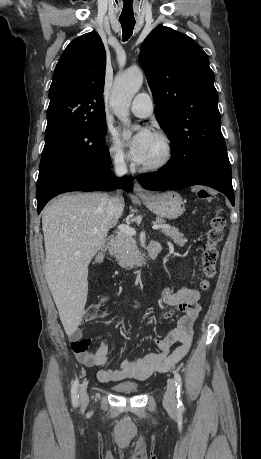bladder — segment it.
I'll return each mask as SVG.
<instances>
[{
	"instance_id": "obj_1",
	"label": "bladder",
	"mask_w": 261,
	"mask_h": 459,
	"mask_svg": "<svg viewBox=\"0 0 261 459\" xmlns=\"http://www.w3.org/2000/svg\"><path fill=\"white\" fill-rule=\"evenodd\" d=\"M113 389L117 392L124 394H131L138 391L139 386L134 382H121L113 386Z\"/></svg>"
}]
</instances>
